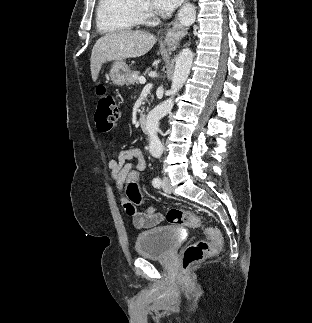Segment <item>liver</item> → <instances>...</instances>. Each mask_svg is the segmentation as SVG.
Masks as SVG:
<instances>
[{"label":"liver","instance_id":"1","mask_svg":"<svg viewBox=\"0 0 312 323\" xmlns=\"http://www.w3.org/2000/svg\"><path fill=\"white\" fill-rule=\"evenodd\" d=\"M156 44L153 34L147 32H109L97 40L93 46L90 58V70L93 82H96L102 64L106 62H121L126 58H139L152 50Z\"/></svg>","mask_w":312,"mask_h":323}]
</instances>
